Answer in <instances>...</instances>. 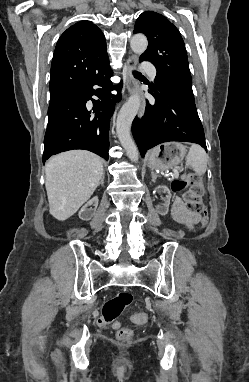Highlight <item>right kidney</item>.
<instances>
[{"label":"right kidney","instance_id":"obj_1","mask_svg":"<svg viewBox=\"0 0 249 382\" xmlns=\"http://www.w3.org/2000/svg\"><path fill=\"white\" fill-rule=\"evenodd\" d=\"M91 205H94L95 207H97L98 205V197H93L90 201L87 202L86 205H84L81 210L79 211V218L84 220V221H88L90 220L93 215H94V210L95 209H89L88 206H91Z\"/></svg>","mask_w":249,"mask_h":382}]
</instances>
